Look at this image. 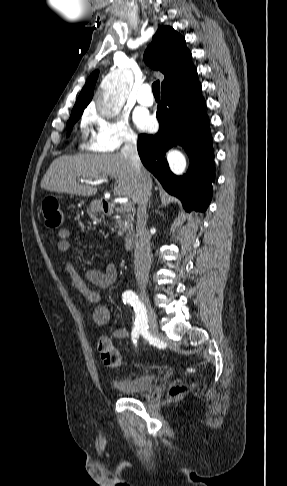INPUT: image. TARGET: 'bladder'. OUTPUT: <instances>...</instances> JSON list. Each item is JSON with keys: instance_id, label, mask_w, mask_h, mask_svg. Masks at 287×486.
I'll return each mask as SVG.
<instances>
[{"instance_id": "bladder-1", "label": "bladder", "mask_w": 287, "mask_h": 486, "mask_svg": "<svg viewBox=\"0 0 287 486\" xmlns=\"http://www.w3.org/2000/svg\"><path fill=\"white\" fill-rule=\"evenodd\" d=\"M154 381V376L145 374L133 378H115L111 380V383L118 391L127 395H134L149 391L153 387Z\"/></svg>"}]
</instances>
